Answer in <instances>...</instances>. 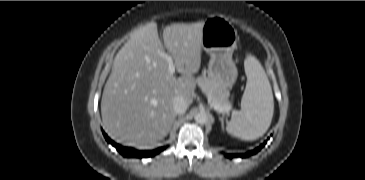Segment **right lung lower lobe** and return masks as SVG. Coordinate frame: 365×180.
Returning <instances> with one entry per match:
<instances>
[{"label": "right lung lower lobe", "instance_id": "right-lung-lower-lobe-1", "mask_svg": "<svg viewBox=\"0 0 365 180\" xmlns=\"http://www.w3.org/2000/svg\"><path fill=\"white\" fill-rule=\"evenodd\" d=\"M103 135H104L105 139L107 140V142L112 144L120 152V154L123 155L124 157H137V158L150 157V156H154V155L158 154L159 152H161L162 150L165 149V147H160L158 149L151 150V151H138V150H135L130 147H123L119 144H116L104 133V131H103Z\"/></svg>", "mask_w": 365, "mask_h": 180}]
</instances>
